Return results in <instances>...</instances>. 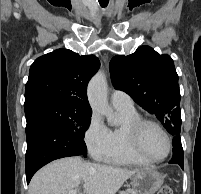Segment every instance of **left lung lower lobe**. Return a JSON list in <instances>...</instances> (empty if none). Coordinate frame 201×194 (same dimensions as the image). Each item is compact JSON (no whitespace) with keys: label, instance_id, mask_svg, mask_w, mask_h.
Returning <instances> with one entry per match:
<instances>
[{"label":"left lung lower lobe","instance_id":"obj_1","mask_svg":"<svg viewBox=\"0 0 201 194\" xmlns=\"http://www.w3.org/2000/svg\"><path fill=\"white\" fill-rule=\"evenodd\" d=\"M173 156L169 163L178 164L182 169L184 168L183 165V148L181 145L180 134L173 135Z\"/></svg>","mask_w":201,"mask_h":194}]
</instances>
